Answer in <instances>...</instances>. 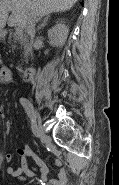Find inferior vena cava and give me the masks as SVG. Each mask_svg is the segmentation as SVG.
<instances>
[{"mask_svg":"<svg viewBox=\"0 0 119 185\" xmlns=\"http://www.w3.org/2000/svg\"><path fill=\"white\" fill-rule=\"evenodd\" d=\"M26 31L30 36L31 42H33V39L35 36V20H34V16L30 13L28 14V17H27Z\"/></svg>","mask_w":119,"mask_h":185,"instance_id":"obj_1","label":"inferior vena cava"}]
</instances>
